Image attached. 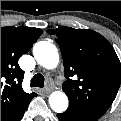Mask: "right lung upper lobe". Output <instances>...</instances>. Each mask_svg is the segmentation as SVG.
Returning <instances> with one entry per match:
<instances>
[{
	"label": "right lung upper lobe",
	"mask_w": 121,
	"mask_h": 121,
	"mask_svg": "<svg viewBox=\"0 0 121 121\" xmlns=\"http://www.w3.org/2000/svg\"><path fill=\"white\" fill-rule=\"evenodd\" d=\"M41 34L39 28L1 27V121H8L36 96L22 89L24 71L18 59L31 49Z\"/></svg>",
	"instance_id": "obj_1"
}]
</instances>
